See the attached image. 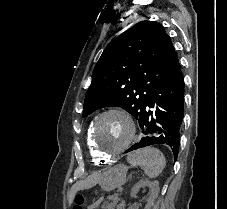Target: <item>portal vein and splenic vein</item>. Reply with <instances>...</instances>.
Returning <instances> with one entry per match:
<instances>
[{"label":"portal vein and splenic vein","instance_id":"obj_1","mask_svg":"<svg viewBox=\"0 0 227 209\" xmlns=\"http://www.w3.org/2000/svg\"><path fill=\"white\" fill-rule=\"evenodd\" d=\"M109 200L113 198V200L116 202L118 199L116 198V196L113 194H109L107 197Z\"/></svg>","mask_w":227,"mask_h":209}]
</instances>
